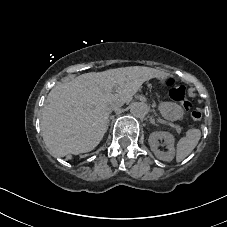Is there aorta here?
Listing matches in <instances>:
<instances>
[{
	"instance_id": "1",
	"label": "aorta",
	"mask_w": 227,
	"mask_h": 227,
	"mask_svg": "<svg viewBox=\"0 0 227 227\" xmlns=\"http://www.w3.org/2000/svg\"><path fill=\"white\" fill-rule=\"evenodd\" d=\"M149 112V107L143 102H134L130 106V113L136 118H144Z\"/></svg>"
}]
</instances>
